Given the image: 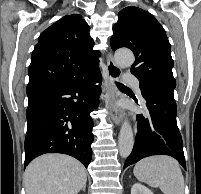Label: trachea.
<instances>
[{
	"mask_svg": "<svg viewBox=\"0 0 201 194\" xmlns=\"http://www.w3.org/2000/svg\"><path fill=\"white\" fill-rule=\"evenodd\" d=\"M117 85H118V87H124V85L121 83H117Z\"/></svg>",
	"mask_w": 201,
	"mask_h": 194,
	"instance_id": "trachea-1",
	"label": "trachea"
}]
</instances>
